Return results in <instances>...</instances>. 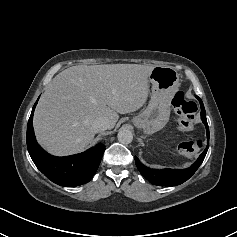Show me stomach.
<instances>
[{
    "mask_svg": "<svg viewBox=\"0 0 237 237\" xmlns=\"http://www.w3.org/2000/svg\"><path fill=\"white\" fill-rule=\"evenodd\" d=\"M152 84L147 108L133 117L132 123L149 135L161 130L170 116V100L179 87V74L169 66H155L148 76Z\"/></svg>",
    "mask_w": 237,
    "mask_h": 237,
    "instance_id": "stomach-1",
    "label": "stomach"
}]
</instances>
